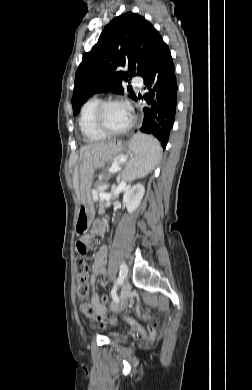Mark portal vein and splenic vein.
Listing matches in <instances>:
<instances>
[{"instance_id": "1", "label": "portal vein and splenic vein", "mask_w": 252, "mask_h": 390, "mask_svg": "<svg viewBox=\"0 0 252 390\" xmlns=\"http://www.w3.org/2000/svg\"><path fill=\"white\" fill-rule=\"evenodd\" d=\"M126 161H127V158H126V157H121L120 159L115 160V161L112 163V166H111V168H110L109 171H110L111 173L117 172L118 170L121 169L120 164H122V163H124V162H126ZM113 189H114V193H119V192H120V189H121V186H119V187H117V188L113 187ZM101 196L104 197L105 199H107V198H110V197H111V194H106V193H104V194H102Z\"/></svg>"}]
</instances>
